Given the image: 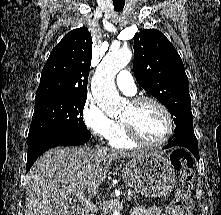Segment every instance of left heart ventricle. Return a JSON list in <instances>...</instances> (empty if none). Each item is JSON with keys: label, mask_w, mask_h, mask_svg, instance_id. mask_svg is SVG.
<instances>
[{"label": "left heart ventricle", "mask_w": 221, "mask_h": 215, "mask_svg": "<svg viewBox=\"0 0 221 215\" xmlns=\"http://www.w3.org/2000/svg\"><path fill=\"white\" fill-rule=\"evenodd\" d=\"M121 119L131 121L140 136L151 143L159 142L167 131L164 113L152 102H143L138 106L128 104Z\"/></svg>", "instance_id": "1"}]
</instances>
